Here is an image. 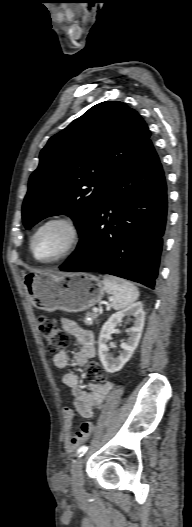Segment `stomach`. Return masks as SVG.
Wrapping results in <instances>:
<instances>
[{"label": "stomach", "mask_w": 192, "mask_h": 527, "mask_svg": "<svg viewBox=\"0 0 192 527\" xmlns=\"http://www.w3.org/2000/svg\"><path fill=\"white\" fill-rule=\"evenodd\" d=\"M25 285L34 306L48 312H81L100 302L104 295L102 281L81 272L30 273L25 276Z\"/></svg>", "instance_id": "1"}]
</instances>
